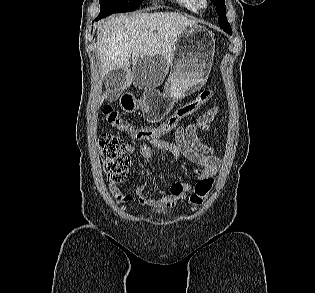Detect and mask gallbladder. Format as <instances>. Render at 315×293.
Here are the masks:
<instances>
[{
    "mask_svg": "<svg viewBox=\"0 0 315 293\" xmlns=\"http://www.w3.org/2000/svg\"><path fill=\"white\" fill-rule=\"evenodd\" d=\"M104 82L109 90L107 99L109 101H113L116 99V91L119 89L125 82V74L124 71L119 70H112L104 77Z\"/></svg>",
    "mask_w": 315,
    "mask_h": 293,
    "instance_id": "obj_1",
    "label": "gallbladder"
}]
</instances>
